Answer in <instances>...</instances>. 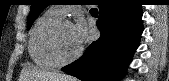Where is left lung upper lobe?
<instances>
[{
    "mask_svg": "<svg viewBox=\"0 0 169 81\" xmlns=\"http://www.w3.org/2000/svg\"><path fill=\"white\" fill-rule=\"evenodd\" d=\"M48 6V0H32L31 1V12L27 21V29H30L34 20L42 12V10Z\"/></svg>",
    "mask_w": 169,
    "mask_h": 81,
    "instance_id": "obj_1",
    "label": "left lung upper lobe"
}]
</instances>
